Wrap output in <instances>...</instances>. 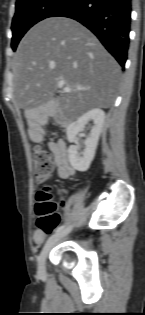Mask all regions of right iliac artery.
Instances as JSON below:
<instances>
[{
    "label": "right iliac artery",
    "instance_id": "obj_1",
    "mask_svg": "<svg viewBox=\"0 0 145 315\" xmlns=\"http://www.w3.org/2000/svg\"><path fill=\"white\" fill-rule=\"evenodd\" d=\"M63 229H64V225L59 226V227H57V228L55 229V233H58V232L62 231Z\"/></svg>",
    "mask_w": 145,
    "mask_h": 315
}]
</instances>
